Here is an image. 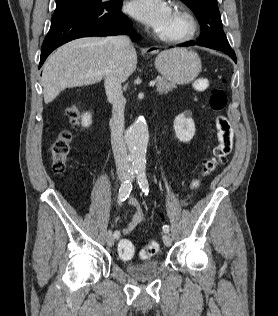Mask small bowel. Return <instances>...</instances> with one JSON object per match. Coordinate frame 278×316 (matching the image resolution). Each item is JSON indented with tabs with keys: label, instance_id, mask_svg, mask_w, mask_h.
Segmentation results:
<instances>
[{
	"label": "small bowel",
	"instance_id": "c3829d8e",
	"mask_svg": "<svg viewBox=\"0 0 278 316\" xmlns=\"http://www.w3.org/2000/svg\"><path fill=\"white\" fill-rule=\"evenodd\" d=\"M128 203L134 208V213L128 225L122 230L123 234L132 232L144 219V211L138 200L130 197Z\"/></svg>",
	"mask_w": 278,
	"mask_h": 316
}]
</instances>
